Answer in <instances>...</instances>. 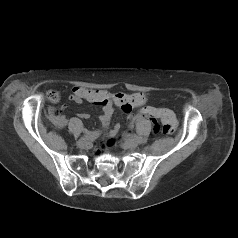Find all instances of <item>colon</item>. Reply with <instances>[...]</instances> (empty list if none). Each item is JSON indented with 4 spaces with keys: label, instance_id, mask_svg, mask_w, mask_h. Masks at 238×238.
Returning <instances> with one entry per match:
<instances>
[{
    "label": "colon",
    "instance_id": "colon-1",
    "mask_svg": "<svg viewBox=\"0 0 238 238\" xmlns=\"http://www.w3.org/2000/svg\"><path fill=\"white\" fill-rule=\"evenodd\" d=\"M48 99L51 102H58L59 95L55 91L48 92ZM140 116H144L150 118L152 120H161L162 125H155L154 126V133H162L164 135H172L177 126V122L175 116L168 110H165L161 107L154 108V107H144L139 111ZM115 143V140L108 141L107 145L111 146Z\"/></svg>",
    "mask_w": 238,
    "mask_h": 238
}]
</instances>
